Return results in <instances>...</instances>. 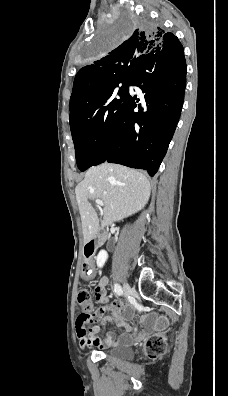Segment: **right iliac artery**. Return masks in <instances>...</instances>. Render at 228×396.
I'll list each match as a JSON object with an SVG mask.
<instances>
[{
    "label": "right iliac artery",
    "mask_w": 228,
    "mask_h": 396,
    "mask_svg": "<svg viewBox=\"0 0 228 396\" xmlns=\"http://www.w3.org/2000/svg\"><path fill=\"white\" fill-rule=\"evenodd\" d=\"M114 290L117 295L120 296L122 294V288L119 284H114Z\"/></svg>",
    "instance_id": "82829eb1"
}]
</instances>
